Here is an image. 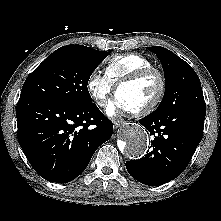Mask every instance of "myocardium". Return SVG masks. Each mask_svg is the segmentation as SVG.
I'll return each instance as SVG.
<instances>
[{"label": "myocardium", "mask_w": 221, "mask_h": 221, "mask_svg": "<svg viewBox=\"0 0 221 221\" xmlns=\"http://www.w3.org/2000/svg\"><path fill=\"white\" fill-rule=\"evenodd\" d=\"M150 75H156L158 77V80L160 83L159 91H158L156 97L153 99V101H151L146 106L136 109V110H127L128 113H130L134 116L147 115V114L151 113L152 111H154L158 107V105L162 102L165 92H166V86H167L166 78H165L164 74L159 69H157L155 67L144 68V69L138 70V71L132 73L131 75L121 79L116 84L115 93L117 94L119 89L122 88L123 86L136 83L140 80L147 78Z\"/></svg>", "instance_id": "myocardium-1"}]
</instances>
